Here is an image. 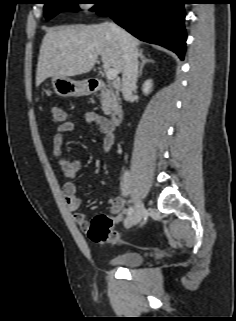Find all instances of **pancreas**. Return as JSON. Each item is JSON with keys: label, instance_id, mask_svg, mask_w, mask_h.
<instances>
[{"label": "pancreas", "instance_id": "cf45deb5", "mask_svg": "<svg viewBox=\"0 0 236 321\" xmlns=\"http://www.w3.org/2000/svg\"><path fill=\"white\" fill-rule=\"evenodd\" d=\"M101 104L104 114H110L111 111L118 108L119 105V93L114 92L112 89H108L106 92L101 93Z\"/></svg>", "mask_w": 236, "mask_h": 321}]
</instances>
